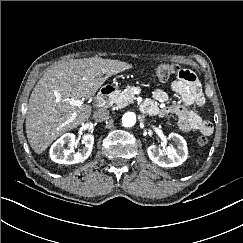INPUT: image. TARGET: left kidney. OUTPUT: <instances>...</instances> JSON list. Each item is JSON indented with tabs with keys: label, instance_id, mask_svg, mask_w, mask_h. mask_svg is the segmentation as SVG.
<instances>
[{
	"label": "left kidney",
	"instance_id": "left-kidney-1",
	"mask_svg": "<svg viewBox=\"0 0 243 243\" xmlns=\"http://www.w3.org/2000/svg\"><path fill=\"white\" fill-rule=\"evenodd\" d=\"M168 138L175 142L176 147L168 146L165 150H161L155 145H151L148 147L147 153L150 160L160 167H177L187 159V143L185 139L177 133H170Z\"/></svg>",
	"mask_w": 243,
	"mask_h": 243
}]
</instances>
